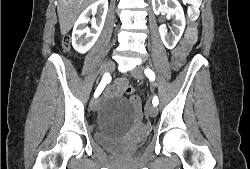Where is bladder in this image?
I'll use <instances>...</instances> for the list:
<instances>
[{"label":"bladder","instance_id":"31cf9c89","mask_svg":"<svg viewBox=\"0 0 250 169\" xmlns=\"http://www.w3.org/2000/svg\"><path fill=\"white\" fill-rule=\"evenodd\" d=\"M114 136L115 134L94 133L95 143L103 149L116 152H131L141 147V145H130L122 139H115Z\"/></svg>","mask_w":250,"mask_h":169}]
</instances>
